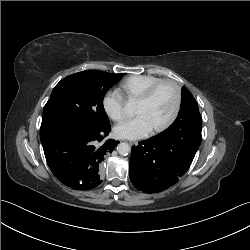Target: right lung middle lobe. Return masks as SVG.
Here are the masks:
<instances>
[{"mask_svg": "<svg viewBox=\"0 0 250 250\" xmlns=\"http://www.w3.org/2000/svg\"><path fill=\"white\" fill-rule=\"evenodd\" d=\"M122 76L98 70L67 76L55 86L44 106L41 129L58 123L91 128L109 125L103 98Z\"/></svg>", "mask_w": 250, "mask_h": 250, "instance_id": "obj_1", "label": "right lung middle lobe"}]
</instances>
